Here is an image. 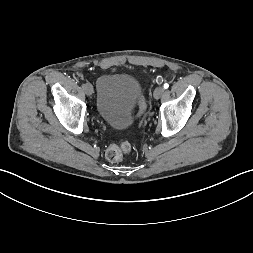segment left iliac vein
<instances>
[{
	"label": "left iliac vein",
	"instance_id": "left-iliac-vein-1",
	"mask_svg": "<svg viewBox=\"0 0 253 253\" xmlns=\"http://www.w3.org/2000/svg\"><path fill=\"white\" fill-rule=\"evenodd\" d=\"M164 91L165 89L162 86L157 87L154 91V98L159 99L163 95Z\"/></svg>",
	"mask_w": 253,
	"mask_h": 253
}]
</instances>
